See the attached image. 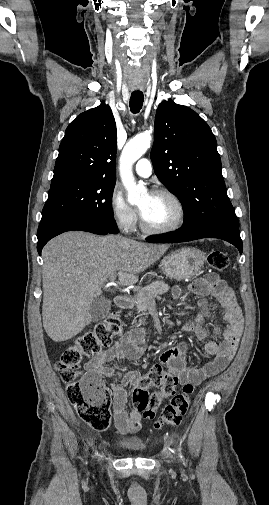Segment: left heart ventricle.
<instances>
[{
    "instance_id": "obj_1",
    "label": "left heart ventricle",
    "mask_w": 269,
    "mask_h": 505,
    "mask_svg": "<svg viewBox=\"0 0 269 505\" xmlns=\"http://www.w3.org/2000/svg\"><path fill=\"white\" fill-rule=\"evenodd\" d=\"M139 208L146 222L155 227L174 223L179 214L176 204L161 195H145L139 202Z\"/></svg>"
}]
</instances>
